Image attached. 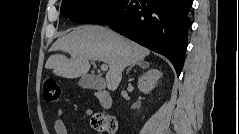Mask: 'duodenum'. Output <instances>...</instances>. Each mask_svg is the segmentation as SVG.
<instances>
[{
	"instance_id": "410a0bca",
	"label": "duodenum",
	"mask_w": 239,
	"mask_h": 134,
	"mask_svg": "<svg viewBox=\"0 0 239 134\" xmlns=\"http://www.w3.org/2000/svg\"><path fill=\"white\" fill-rule=\"evenodd\" d=\"M97 96L100 100L101 105L104 108L109 109V108L112 107L113 100H112L111 95L108 92L100 90V91L97 92Z\"/></svg>"
}]
</instances>
